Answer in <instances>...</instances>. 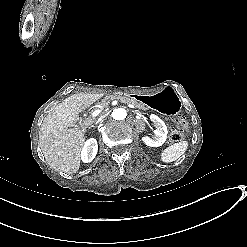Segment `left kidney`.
I'll list each match as a JSON object with an SVG mask.
<instances>
[{
	"instance_id": "1",
	"label": "left kidney",
	"mask_w": 247,
	"mask_h": 247,
	"mask_svg": "<svg viewBox=\"0 0 247 247\" xmlns=\"http://www.w3.org/2000/svg\"><path fill=\"white\" fill-rule=\"evenodd\" d=\"M150 119L153 121L155 125L154 135L155 138L151 139L150 137L142 136V142L148 147H160L166 141L167 136V127L162 120H160L157 116L151 115Z\"/></svg>"
}]
</instances>
